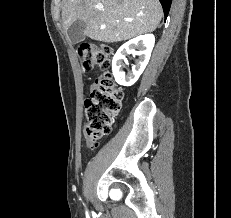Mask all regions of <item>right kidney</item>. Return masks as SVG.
Returning <instances> with one entry per match:
<instances>
[{"mask_svg":"<svg viewBox=\"0 0 231 218\" xmlns=\"http://www.w3.org/2000/svg\"><path fill=\"white\" fill-rule=\"evenodd\" d=\"M154 43L155 37L153 34L141 35L129 40L117 50L112 60V71L118 84L131 86L138 80L149 62ZM129 54L139 56V58L132 66V71L126 74L123 71V61L127 63L126 56Z\"/></svg>","mask_w":231,"mask_h":218,"instance_id":"ca27d5eb","label":"right kidney"}]
</instances>
